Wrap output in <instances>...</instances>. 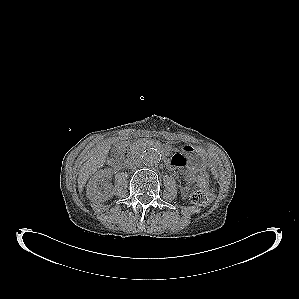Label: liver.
Listing matches in <instances>:
<instances>
[{
    "mask_svg": "<svg viewBox=\"0 0 299 299\" xmlns=\"http://www.w3.org/2000/svg\"><path fill=\"white\" fill-rule=\"evenodd\" d=\"M117 139L112 138L108 141H105L95 152L94 154L83 164L80 169L78 176V188L81 191L86 184L89 177L101 168L105 161L107 154L110 150V145L116 143Z\"/></svg>",
    "mask_w": 299,
    "mask_h": 299,
    "instance_id": "liver-1",
    "label": "liver"
}]
</instances>
